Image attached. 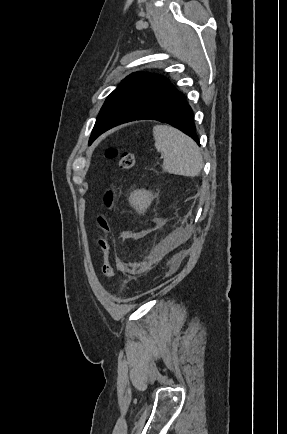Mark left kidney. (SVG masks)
Listing matches in <instances>:
<instances>
[{
    "instance_id": "left-kidney-1",
    "label": "left kidney",
    "mask_w": 287,
    "mask_h": 434,
    "mask_svg": "<svg viewBox=\"0 0 287 434\" xmlns=\"http://www.w3.org/2000/svg\"><path fill=\"white\" fill-rule=\"evenodd\" d=\"M152 199L153 196L150 192L146 190H138L132 194L130 201L137 209L141 210L147 208L152 202Z\"/></svg>"
}]
</instances>
